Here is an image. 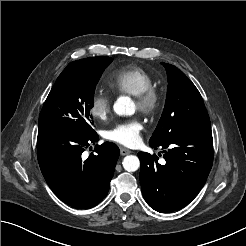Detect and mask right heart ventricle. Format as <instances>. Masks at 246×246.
I'll return each mask as SVG.
<instances>
[{
	"mask_svg": "<svg viewBox=\"0 0 246 246\" xmlns=\"http://www.w3.org/2000/svg\"><path fill=\"white\" fill-rule=\"evenodd\" d=\"M109 86L117 93L137 96L154 84L153 77L137 66H127L114 71Z\"/></svg>",
	"mask_w": 246,
	"mask_h": 246,
	"instance_id": "right-heart-ventricle-1",
	"label": "right heart ventricle"
}]
</instances>
